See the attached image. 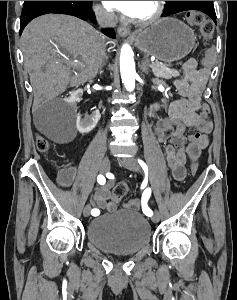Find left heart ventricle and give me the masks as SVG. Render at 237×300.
I'll list each match as a JSON object with an SVG mask.
<instances>
[{"mask_svg":"<svg viewBox=\"0 0 237 300\" xmlns=\"http://www.w3.org/2000/svg\"><path fill=\"white\" fill-rule=\"evenodd\" d=\"M154 10V1H140L139 6L131 16L132 18H146L148 17Z\"/></svg>","mask_w":237,"mask_h":300,"instance_id":"obj_1","label":"left heart ventricle"}]
</instances>
